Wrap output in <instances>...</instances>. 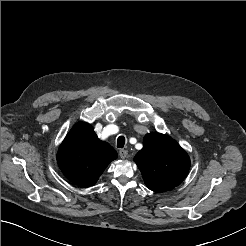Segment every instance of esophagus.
<instances>
[{
  "label": "esophagus",
  "mask_w": 246,
  "mask_h": 246,
  "mask_svg": "<svg viewBox=\"0 0 246 246\" xmlns=\"http://www.w3.org/2000/svg\"><path fill=\"white\" fill-rule=\"evenodd\" d=\"M119 156L121 159H125L128 156V151L124 149L119 150Z\"/></svg>",
  "instance_id": "esophagus-1"
}]
</instances>
